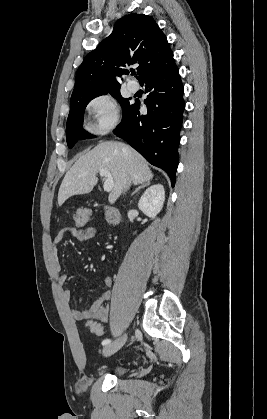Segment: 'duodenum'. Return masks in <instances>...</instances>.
Here are the masks:
<instances>
[{"instance_id":"410a0bca","label":"duodenum","mask_w":267,"mask_h":419,"mask_svg":"<svg viewBox=\"0 0 267 419\" xmlns=\"http://www.w3.org/2000/svg\"><path fill=\"white\" fill-rule=\"evenodd\" d=\"M104 214H105L106 221L109 225L114 226L118 224L120 216L117 209L111 206H105Z\"/></svg>"}]
</instances>
